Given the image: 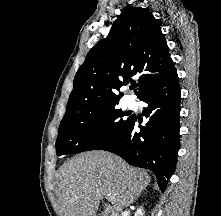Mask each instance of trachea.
<instances>
[{
	"label": "trachea",
	"mask_w": 221,
	"mask_h": 216,
	"mask_svg": "<svg viewBox=\"0 0 221 216\" xmlns=\"http://www.w3.org/2000/svg\"><path fill=\"white\" fill-rule=\"evenodd\" d=\"M135 87H136V85H133V86H132V88H135Z\"/></svg>",
	"instance_id": "1"
}]
</instances>
